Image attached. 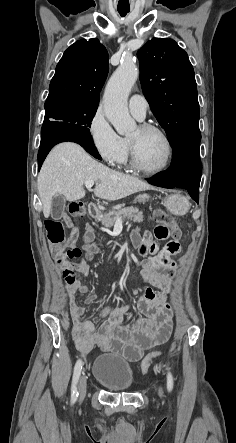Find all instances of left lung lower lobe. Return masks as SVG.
Returning a JSON list of instances; mask_svg holds the SVG:
<instances>
[{
    "mask_svg": "<svg viewBox=\"0 0 236 443\" xmlns=\"http://www.w3.org/2000/svg\"><path fill=\"white\" fill-rule=\"evenodd\" d=\"M201 134L192 133L183 136L173 146L172 163L168 170L154 175L148 182L164 188L187 189L193 200L198 203L202 165L199 144Z\"/></svg>",
    "mask_w": 236,
    "mask_h": 443,
    "instance_id": "left-lung-lower-lobe-1",
    "label": "left lung lower lobe"
}]
</instances>
